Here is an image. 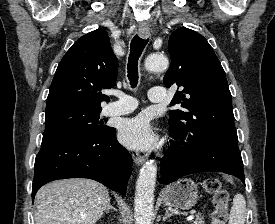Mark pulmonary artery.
<instances>
[{
	"label": "pulmonary artery",
	"mask_w": 275,
	"mask_h": 224,
	"mask_svg": "<svg viewBox=\"0 0 275 224\" xmlns=\"http://www.w3.org/2000/svg\"><path fill=\"white\" fill-rule=\"evenodd\" d=\"M166 90L163 87H154L149 90L148 97L151 102H161L165 99ZM137 107V101L132 96L120 94L119 99L108 104L105 113L109 116L123 115L132 112Z\"/></svg>",
	"instance_id": "1"
}]
</instances>
